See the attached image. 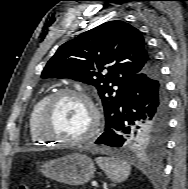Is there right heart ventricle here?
I'll use <instances>...</instances> for the list:
<instances>
[{
  "mask_svg": "<svg viewBox=\"0 0 188 189\" xmlns=\"http://www.w3.org/2000/svg\"><path fill=\"white\" fill-rule=\"evenodd\" d=\"M51 95V93L45 94L42 97H40L32 106L29 117H28V132L30 140L37 145H45L48 142L41 139L36 131V122L37 118L39 116V113L45 103V101L48 99V97Z\"/></svg>",
  "mask_w": 188,
  "mask_h": 189,
  "instance_id": "e07e8e85",
  "label": "right heart ventricle"
}]
</instances>
